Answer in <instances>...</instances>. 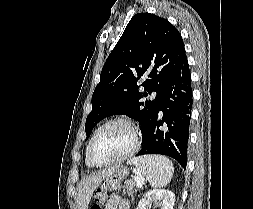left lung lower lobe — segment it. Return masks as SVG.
<instances>
[{"label": "left lung lower lobe", "instance_id": "left-lung-lower-lobe-1", "mask_svg": "<svg viewBox=\"0 0 253 209\" xmlns=\"http://www.w3.org/2000/svg\"><path fill=\"white\" fill-rule=\"evenodd\" d=\"M191 111V76L186 58L166 85L158 114L150 124L142 149L136 156L166 155L186 169Z\"/></svg>", "mask_w": 253, "mask_h": 209}]
</instances>
